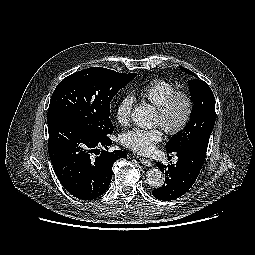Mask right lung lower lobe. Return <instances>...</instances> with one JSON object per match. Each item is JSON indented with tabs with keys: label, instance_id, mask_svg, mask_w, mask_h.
Instances as JSON below:
<instances>
[{
	"label": "right lung lower lobe",
	"instance_id": "98d812e1",
	"mask_svg": "<svg viewBox=\"0 0 255 255\" xmlns=\"http://www.w3.org/2000/svg\"><path fill=\"white\" fill-rule=\"evenodd\" d=\"M48 151L55 173L63 187L73 196L92 200L101 196L112 179L113 163L126 158L124 151L100 153L99 147L112 144L106 137H96L73 123L57 120L48 125ZM99 151L95 159L92 153Z\"/></svg>",
	"mask_w": 255,
	"mask_h": 255
}]
</instances>
